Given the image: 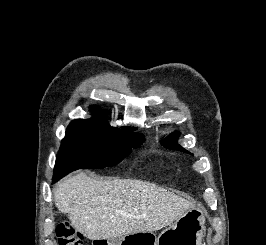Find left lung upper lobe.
<instances>
[{
    "instance_id": "obj_1",
    "label": "left lung upper lobe",
    "mask_w": 266,
    "mask_h": 245,
    "mask_svg": "<svg viewBox=\"0 0 266 245\" xmlns=\"http://www.w3.org/2000/svg\"><path fill=\"white\" fill-rule=\"evenodd\" d=\"M178 136L179 134L177 132L170 134L167 139L161 141V144L169 149H175L185 153H189L187 150H185L184 148H182L180 145L177 144Z\"/></svg>"
}]
</instances>
